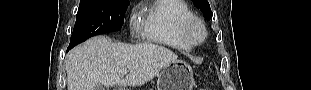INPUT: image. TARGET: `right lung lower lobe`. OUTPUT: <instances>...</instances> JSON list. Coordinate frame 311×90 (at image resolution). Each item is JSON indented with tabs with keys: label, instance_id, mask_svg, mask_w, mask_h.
Masks as SVG:
<instances>
[{
	"label": "right lung lower lobe",
	"instance_id": "obj_1",
	"mask_svg": "<svg viewBox=\"0 0 311 90\" xmlns=\"http://www.w3.org/2000/svg\"><path fill=\"white\" fill-rule=\"evenodd\" d=\"M72 47H68L67 51H69Z\"/></svg>",
	"mask_w": 311,
	"mask_h": 90
}]
</instances>
